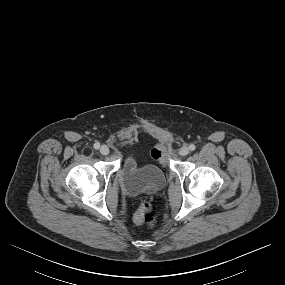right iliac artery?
Returning a JSON list of instances; mask_svg holds the SVG:
<instances>
[{
	"instance_id": "1",
	"label": "right iliac artery",
	"mask_w": 285,
	"mask_h": 285,
	"mask_svg": "<svg viewBox=\"0 0 285 285\" xmlns=\"http://www.w3.org/2000/svg\"><path fill=\"white\" fill-rule=\"evenodd\" d=\"M93 146H94V148H95V149H99V147H100V143H99V142H96V143H94V145H93Z\"/></svg>"
}]
</instances>
